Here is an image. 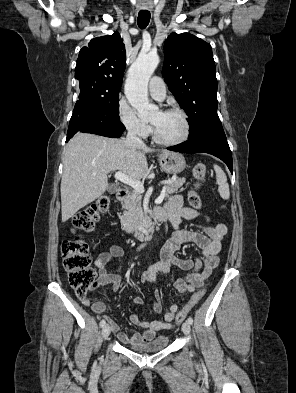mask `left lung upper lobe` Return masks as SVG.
<instances>
[{"label":"left lung upper lobe","instance_id":"obj_1","mask_svg":"<svg viewBox=\"0 0 296 393\" xmlns=\"http://www.w3.org/2000/svg\"><path fill=\"white\" fill-rule=\"evenodd\" d=\"M164 55L163 77L188 115L189 138L221 126L210 44L189 33H172L165 41Z\"/></svg>","mask_w":296,"mask_h":393}]
</instances>
